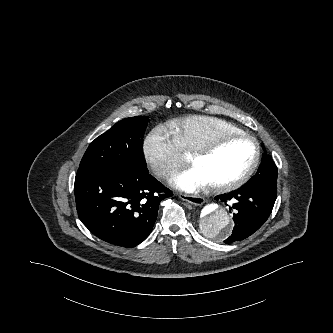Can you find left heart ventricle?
I'll return each instance as SVG.
<instances>
[{
	"instance_id": "b2bd125f",
	"label": "left heart ventricle",
	"mask_w": 333,
	"mask_h": 333,
	"mask_svg": "<svg viewBox=\"0 0 333 333\" xmlns=\"http://www.w3.org/2000/svg\"><path fill=\"white\" fill-rule=\"evenodd\" d=\"M254 155L255 146L251 141L235 139L223 142L209 155L195 159L192 165L208 185L222 184L239 177L250 166Z\"/></svg>"
}]
</instances>
